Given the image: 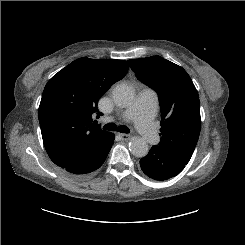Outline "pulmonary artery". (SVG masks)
<instances>
[{
	"label": "pulmonary artery",
	"mask_w": 245,
	"mask_h": 245,
	"mask_svg": "<svg viewBox=\"0 0 245 245\" xmlns=\"http://www.w3.org/2000/svg\"><path fill=\"white\" fill-rule=\"evenodd\" d=\"M158 105L157 93L148 87L143 88L135 100L126 109L118 113V117L124 122H134L142 139L150 145L157 142L158 135L156 125L153 122Z\"/></svg>",
	"instance_id": "1"
}]
</instances>
